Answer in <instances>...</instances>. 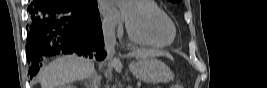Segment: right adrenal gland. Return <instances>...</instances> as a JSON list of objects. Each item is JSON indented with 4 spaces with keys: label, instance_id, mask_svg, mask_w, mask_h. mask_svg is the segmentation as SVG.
Returning <instances> with one entry per match:
<instances>
[{
    "label": "right adrenal gland",
    "instance_id": "obj_1",
    "mask_svg": "<svg viewBox=\"0 0 267 88\" xmlns=\"http://www.w3.org/2000/svg\"><path fill=\"white\" fill-rule=\"evenodd\" d=\"M101 77L95 72L92 80L85 81L87 88H99Z\"/></svg>",
    "mask_w": 267,
    "mask_h": 88
}]
</instances>
